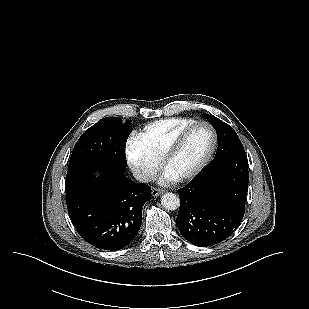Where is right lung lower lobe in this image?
<instances>
[{
    "mask_svg": "<svg viewBox=\"0 0 309 309\" xmlns=\"http://www.w3.org/2000/svg\"><path fill=\"white\" fill-rule=\"evenodd\" d=\"M97 170L101 177L93 180ZM65 185L69 217L83 239L111 251L132 242L142 223V207L151 199L148 185L96 164L69 169Z\"/></svg>",
    "mask_w": 309,
    "mask_h": 309,
    "instance_id": "98d812e1",
    "label": "right lung lower lobe"
}]
</instances>
